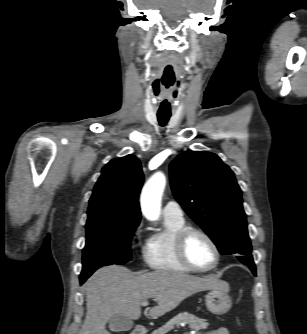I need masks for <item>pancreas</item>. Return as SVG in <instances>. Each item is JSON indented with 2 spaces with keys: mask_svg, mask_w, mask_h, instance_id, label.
Masks as SVG:
<instances>
[{
  "mask_svg": "<svg viewBox=\"0 0 307 334\" xmlns=\"http://www.w3.org/2000/svg\"><path fill=\"white\" fill-rule=\"evenodd\" d=\"M182 323L189 325L193 330L199 331L202 329H207L209 323L205 319L196 317L188 312L179 313L177 316L169 320L165 325L155 330L152 334H166L173 330L175 327H179Z\"/></svg>",
  "mask_w": 307,
  "mask_h": 334,
  "instance_id": "obj_1",
  "label": "pancreas"
}]
</instances>
